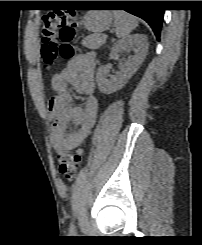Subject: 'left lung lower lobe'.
Wrapping results in <instances>:
<instances>
[{"mask_svg":"<svg viewBox=\"0 0 202 245\" xmlns=\"http://www.w3.org/2000/svg\"><path fill=\"white\" fill-rule=\"evenodd\" d=\"M98 2V1H97ZM100 2V1H99ZM109 7H125V11L145 20L152 28L156 38H160L164 10L149 8L152 1H106Z\"/></svg>","mask_w":202,"mask_h":245,"instance_id":"obj_1","label":"left lung lower lobe"}]
</instances>
